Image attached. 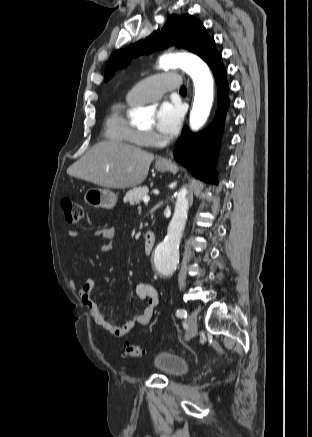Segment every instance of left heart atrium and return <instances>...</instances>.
<instances>
[{
	"label": "left heart atrium",
	"instance_id": "39dd6f15",
	"mask_svg": "<svg viewBox=\"0 0 312 437\" xmlns=\"http://www.w3.org/2000/svg\"><path fill=\"white\" fill-rule=\"evenodd\" d=\"M183 111L179 104L163 102L156 111V128L165 136L175 135L181 126Z\"/></svg>",
	"mask_w": 312,
	"mask_h": 437
}]
</instances>
